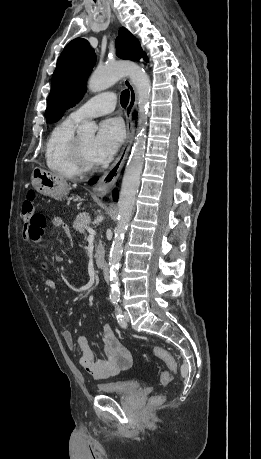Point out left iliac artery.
Segmentation results:
<instances>
[{"mask_svg":"<svg viewBox=\"0 0 261 459\" xmlns=\"http://www.w3.org/2000/svg\"><path fill=\"white\" fill-rule=\"evenodd\" d=\"M116 318H117V321H118L119 325L121 327L125 328L127 324H126V322L124 320V316L122 314V310H121V308L119 306L116 307Z\"/></svg>","mask_w":261,"mask_h":459,"instance_id":"44dca946","label":"left iliac artery"}]
</instances>
